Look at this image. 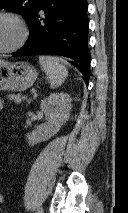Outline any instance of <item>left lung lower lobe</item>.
Wrapping results in <instances>:
<instances>
[{
	"mask_svg": "<svg viewBox=\"0 0 128 213\" xmlns=\"http://www.w3.org/2000/svg\"><path fill=\"white\" fill-rule=\"evenodd\" d=\"M44 11V17L39 11ZM85 0H38L29 24V39L12 56L54 54L73 59L71 62L90 77V52Z\"/></svg>",
	"mask_w": 128,
	"mask_h": 213,
	"instance_id": "1",
	"label": "left lung lower lobe"
}]
</instances>
